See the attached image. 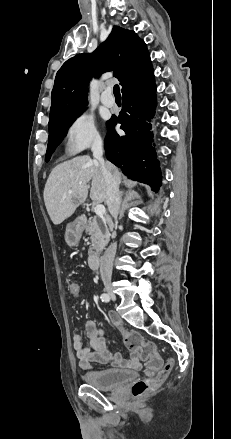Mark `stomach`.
Instances as JSON below:
<instances>
[{
	"instance_id": "1",
	"label": "stomach",
	"mask_w": 231,
	"mask_h": 439,
	"mask_svg": "<svg viewBox=\"0 0 231 439\" xmlns=\"http://www.w3.org/2000/svg\"><path fill=\"white\" fill-rule=\"evenodd\" d=\"M82 231H83L82 225L78 220L69 223L66 227V232H65V240L67 244L69 246H75L81 238Z\"/></svg>"
}]
</instances>
